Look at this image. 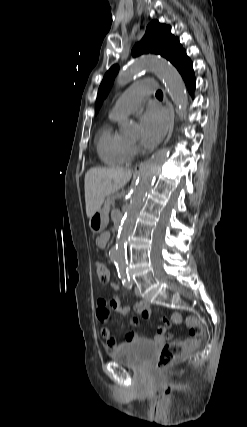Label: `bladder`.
I'll list each match as a JSON object with an SVG mask.
<instances>
[{"instance_id": "31cf9c89", "label": "bladder", "mask_w": 247, "mask_h": 427, "mask_svg": "<svg viewBox=\"0 0 247 427\" xmlns=\"http://www.w3.org/2000/svg\"><path fill=\"white\" fill-rule=\"evenodd\" d=\"M156 351V345L148 340H135L111 353L112 360L132 369H144Z\"/></svg>"}]
</instances>
